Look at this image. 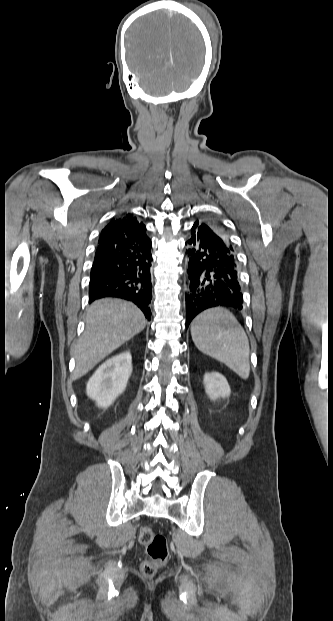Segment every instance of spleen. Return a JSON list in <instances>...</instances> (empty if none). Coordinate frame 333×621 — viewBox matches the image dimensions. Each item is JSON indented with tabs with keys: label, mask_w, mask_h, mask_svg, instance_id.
<instances>
[{
	"label": "spleen",
	"mask_w": 333,
	"mask_h": 621,
	"mask_svg": "<svg viewBox=\"0 0 333 621\" xmlns=\"http://www.w3.org/2000/svg\"><path fill=\"white\" fill-rule=\"evenodd\" d=\"M191 336L203 354L225 364L242 379L249 377V341L232 313L220 308L203 311L191 323Z\"/></svg>",
	"instance_id": "obj_1"
}]
</instances>
